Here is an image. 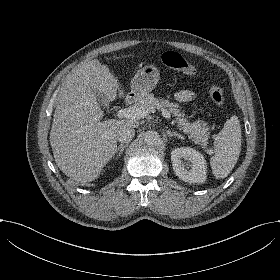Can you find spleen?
Returning a JSON list of instances; mask_svg holds the SVG:
<instances>
[{
  "label": "spleen",
  "instance_id": "3e777b00",
  "mask_svg": "<svg viewBox=\"0 0 280 280\" xmlns=\"http://www.w3.org/2000/svg\"><path fill=\"white\" fill-rule=\"evenodd\" d=\"M242 135L238 116L232 115L214 141L215 155L210 161L216 177L225 178L234 168L240 154Z\"/></svg>",
  "mask_w": 280,
  "mask_h": 280
}]
</instances>
